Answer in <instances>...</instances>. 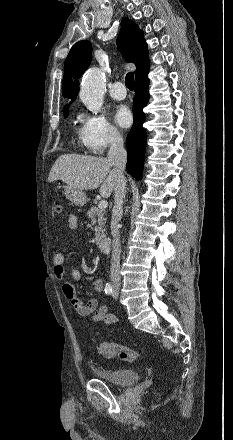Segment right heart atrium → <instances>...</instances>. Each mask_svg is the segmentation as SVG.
<instances>
[{
    "instance_id": "1",
    "label": "right heart atrium",
    "mask_w": 233,
    "mask_h": 440,
    "mask_svg": "<svg viewBox=\"0 0 233 440\" xmlns=\"http://www.w3.org/2000/svg\"><path fill=\"white\" fill-rule=\"evenodd\" d=\"M80 138L85 149L102 154L108 147L122 142L120 131L102 114H81Z\"/></svg>"
}]
</instances>
